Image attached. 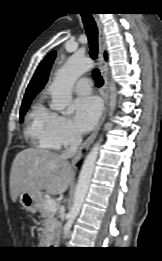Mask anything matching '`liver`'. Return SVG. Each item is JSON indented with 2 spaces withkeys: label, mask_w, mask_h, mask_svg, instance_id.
<instances>
[{
  "label": "liver",
  "mask_w": 162,
  "mask_h": 261,
  "mask_svg": "<svg viewBox=\"0 0 162 261\" xmlns=\"http://www.w3.org/2000/svg\"><path fill=\"white\" fill-rule=\"evenodd\" d=\"M74 180V172L60 154L39 148H27L13 160L10 172V196L13 202L21 193L40 195L65 192Z\"/></svg>",
  "instance_id": "liver-1"
}]
</instances>
